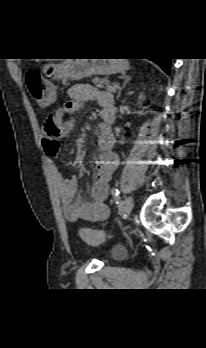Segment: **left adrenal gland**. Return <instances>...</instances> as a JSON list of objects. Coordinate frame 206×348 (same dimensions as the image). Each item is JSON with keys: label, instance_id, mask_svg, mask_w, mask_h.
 I'll return each mask as SVG.
<instances>
[{"label": "left adrenal gland", "instance_id": "a2214340", "mask_svg": "<svg viewBox=\"0 0 206 348\" xmlns=\"http://www.w3.org/2000/svg\"><path fill=\"white\" fill-rule=\"evenodd\" d=\"M123 79H124V82H123L122 87L119 89V92H118V95H117V98H116L117 100L120 98L121 93H122L123 89L125 88L126 84L131 80V76L125 75L123 77Z\"/></svg>", "mask_w": 206, "mask_h": 348}]
</instances>
